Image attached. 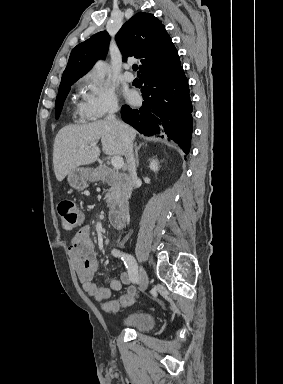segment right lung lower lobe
Segmentation results:
<instances>
[{
	"label": "right lung lower lobe",
	"mask_w": 283,
	"mask_h": 384,
	"mask_svg": "<svg viewBox=\"0 0 283 384\" xmlns=\"http://www.w3.org/2000/svg\"><path fill=\"white\" fill-rule=\"evenodd\" d=\"M144 102L140 109L121 108L124 122L146 136L164 132L187 154L192 136V102L188 80L179 64L141 79Z\"/></svg>",
	"instance_id": "1"
}]
</instances>
